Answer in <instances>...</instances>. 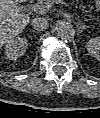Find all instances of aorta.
I'll return each mask as SVG.
<instances>
[{
    "label": "aorta",
    "instance_id": "obj_1",
    "mask_svg": "<svg viewBox=\"0 0 100 118\" xmlns=\"http://www.w3.org/2000/svg\"><path fill=\"white\" fill-rule=\"evenodd\" d=\"M56 33L59 38H69L73 35V26L68 22H59L56 25Z\"/></svg>",
    "mask_w": 100,
    "mask_h": 118
}]
</instances>
